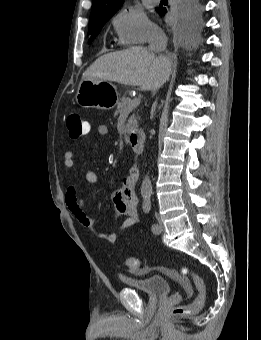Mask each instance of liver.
<instances>
[{"label":"liver","instance_id":"liver-1","mask_svg":"<svg viewBox=\"0 0 261 340\" xmlns=\"http://www.w3.org/2000/svg\"><path fill=\"white\" fill-rule=\"evenodd\" d=\"M170 70L167 57H157L144 47H131L99 57L83 73V79L115 81L155 91L166 81Z\"/></svg>","mask_w":261,"mask_h":340}]
</instances>
